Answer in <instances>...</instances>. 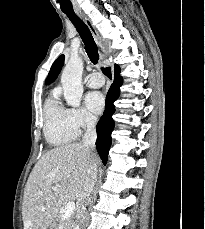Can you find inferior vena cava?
<instances>
[{
  "instance_id": "602c4592",
  "label": "inferior vena cava",
  "mask_w": 205,
  "mask_h": 229,
  "mask_svg": "<svg viewBox=\"0 0 205 229\" xmlns=\"http://www.w3.org/2000/svg\"><path fill=\"white\" fill-rule=\"evenodd\" d=\"M96 122L97 119L92 116V115H87L86 116V132L83 137V145L90 151L92 152L94 147H95V142L97 139V133H96ZM97 178V171L94 167L93 164H90L89 170H88V175L85 180V186L84 190L80 196L79 203L80 205H86V203L89 200L90 194L94 188L95 181ZM79 219H80V224H83L86 220L85 216V211L82 208L79 212Z\"/></svg>"
}]
</instances>
